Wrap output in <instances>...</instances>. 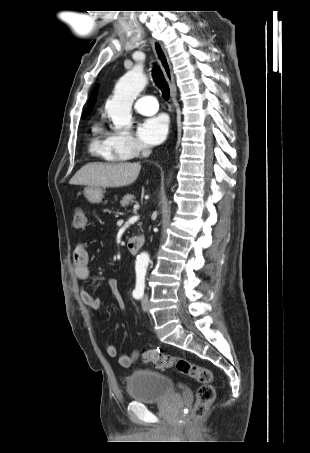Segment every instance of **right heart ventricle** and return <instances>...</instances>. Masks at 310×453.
I'll return each instance as SVG.
<instances>
[{
	"label": "right heart ventricle",
	"instance_id": "e07e8e85",
	"mask_svg": "<svg viewBox=\"0 0 310 453\" xmlns=\"http://www.w3.org/2000/svg\"><path fill=\"white\" fill-rule=\"evenodd\" d=\"M90 152L105 161L119 162L125 160L124 157L115 153L108 142V136L99 123L92 126V133L89 142Z\"/></svg>",
	"mask_w": 310,
	"mask_h": 453
}]
</instances>
